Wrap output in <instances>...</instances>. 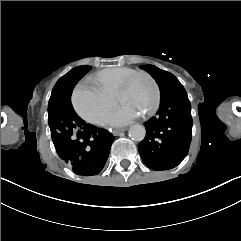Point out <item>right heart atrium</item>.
<instances>
[{"label": "right heart atrium", "mask_w": 241, "mask_h": 241, "mask_svg": "<svg viewBox=\"0 0 241 241\" xmlns=\"http://www.w3.org/2000/svg\"><path fill=\"white\" fill-rule=\"evenodd\" d=\"M114 96L116 95L102 93L100 88L94 84H91L89 88L80 85L73 92L72 103L75 111L83 120L98 125L105 120L111 110Z\"/></svg>", "instance_id": "1"}]
</instances>
